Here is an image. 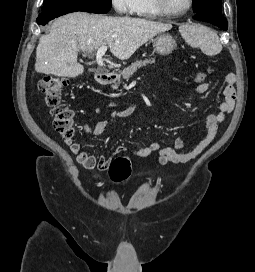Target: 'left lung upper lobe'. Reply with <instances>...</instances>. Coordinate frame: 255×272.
Masks as SVG:
<instances>
[{"instance_id": "5c2ea615", "label": "left lung upper lobe", "mask_w": 255, "mask_h": 272, "mask_svg": "<svg viewBox=\"0 0 255 272\" xmlns=\"http://www.w3.org/2000/svg\"><path fill=\"white\" fill-rule=\"evenodd\" d=\"M195 13L205 10H216L221 12V0H192Z\"/></svg>"}]
</instances>
